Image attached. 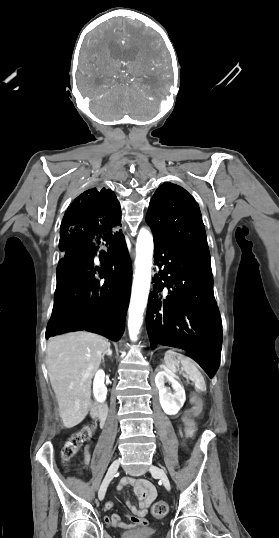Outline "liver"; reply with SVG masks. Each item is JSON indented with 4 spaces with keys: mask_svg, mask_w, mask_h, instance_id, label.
<instances>
[{
    "mask_svg": "<svg viewBox=\"0 0 279 538\" xmlns=\"http://www.w3.org/2000/svg\"><path fill=\"white\" fill-rule=\"evenodd\" d=\"M108 340L91 332H71L50 338L47 370L65 428H74L88 414L92 378Z\"/></svg>",
    "mask_w": 279,
    "mask_h": 538,
    "instance_id": "1",
    "label": "liver"
}]
</instances>
